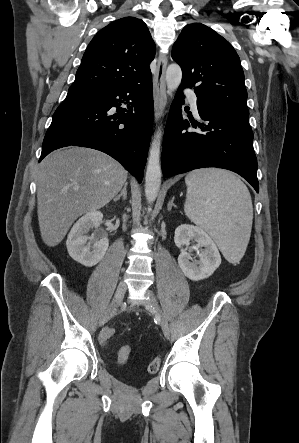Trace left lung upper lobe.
<instances>
[{"mask_svg": "<svg viewBox=\"0 0 299 443\" xmlns=\"http://www.w3.org/2000/svg\"><path fill=\"white\" fill-rule=\"evenodd\" d=\"M184 87L209 108L249 116L239 56L222 36L201 23L186 25L172 48Z\"/></svg>", "mask_w": 299, "mask_h": 443, "instance_id": "5c2ea615", "label": "left lung upper lobe"}]
</instances>
